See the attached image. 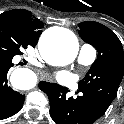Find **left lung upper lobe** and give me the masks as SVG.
Wrapping results in <instances>:
<instances>
[{
    "instance_id": "1",
    "label": "left lung upper lobe",
    "mask_w": 124,
    "mask_h": 124,
    "mask_svg": "<svg viewBox=\"0 0 124 124\" xmlns=\"http://www.w3.org/2000/svg\"><path fill=\"white\" fill-rule=\"evenodd\" d=\"M79 28L82 40L98 51L97 59L79 82V90L108 109L124 74L122 44L112 30L98 22L85 21Z\"/></svg>"
}]
</instances>
